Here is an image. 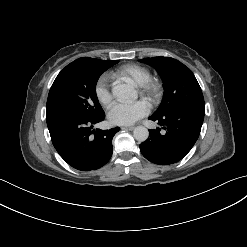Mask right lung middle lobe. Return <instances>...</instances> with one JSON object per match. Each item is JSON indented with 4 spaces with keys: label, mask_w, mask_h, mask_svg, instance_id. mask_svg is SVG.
<instances>
[{
    "label": "right lung middle lobe",
    "mask_w": 247,
    "mask_h": 247,
    "mask_svg": "<svg viewBox=\"0 0 247 247\" xmlns=\"http://www.w3.org/2000/svg\"><path fill=\"white\" fill-rule=\"evenodd\" d=\"M118 62L94 59L67 65L49 91L47 124L65 117L93 118L103 113L96 95V83L103 72Z\"/></svg>",
    "instance_id": "obj_1"
}]
</instances>
